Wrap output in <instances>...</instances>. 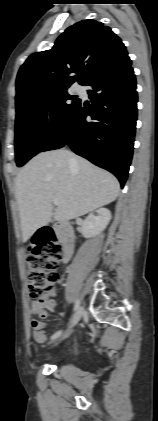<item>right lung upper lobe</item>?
Returning <instances> with one entry per match:
<instances>
[{"mask_svg":"<svg viewBox=\"0 0 158 421\" xmlns=\"http://www.w3.org/2000/svg\"><path fill=\"white\" fill-rule=\"evenodd\" d=\"M126 52L103 23L82 20L67 28L52 49L31 54L16 79V104L39 94L85 85L106 64ZM75 73L76 75H73Z\"/></svg>","mask_w":158,"mask_h":421,"instance_id":"cb5924a9","label":"right lung upper lobe"}]
</instances>
